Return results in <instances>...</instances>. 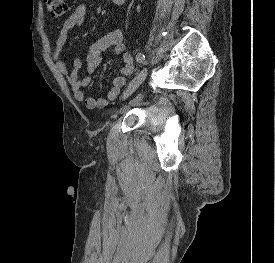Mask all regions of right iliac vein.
<instances>
[{
  "label": "right iliac vein",
  "instance_id": "1",
  "mask_svg": "<svg viewBox=\"0 0 275 263\" xmlns=\"http://www.w3.org/2000/svg\"><path fill=\"white\" fill-rule=\"evenodd\" d=\"M147 71L143 70L141 71L128 85L126 91L122 95V99L127 98L129 95H131L138 87L139 85L146 79Z\"/></svg>",
  "mask_w": 275,
  "mask_h": 263
}]
</instances>
